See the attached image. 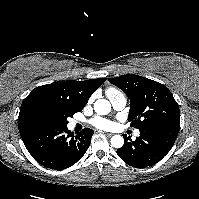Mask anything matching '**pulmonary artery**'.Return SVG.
<instances>
[{
    "mask_svg": "<svg viewBox=\"0 0 199 199\" xmlns=\"http://www.w3.org/2000/svg\"><path fill=\"white\" fill-rule=\"evenodd\" d=\"M106 96L110 100L113 108L116 110H122L127 103L125 94L119 90L109 88L106 90ZM135 135L138 136L139 132L136 131Z\"/></svg>",
    "mask_w": 199,
    "mask_h": 199,
    "instance_id": "1",
    "label": "pulmonary artery"
}]
</instances>
